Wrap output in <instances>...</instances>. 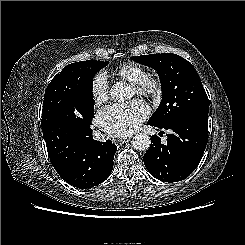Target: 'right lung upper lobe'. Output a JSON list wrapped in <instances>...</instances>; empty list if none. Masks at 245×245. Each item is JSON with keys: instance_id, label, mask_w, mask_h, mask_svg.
Returning <instances> with one entry per match:
<instances>
[{"instance_id": "1", "label": "right lung upper lobe", "mask_w": 245, "mask_h": 245, "mask_svg": "<svg viewBox=\"0 0 245 245\" xmlns=\"http://www.w3.org/2000/svg\"><path fill=\"white\" fill-rule=\"evenodd\" d=\"M78 90L70 65L49 83L43 101L41 126L44 137L64 132L65 120L75 111Z\"/></svg>"}]
</instances>
